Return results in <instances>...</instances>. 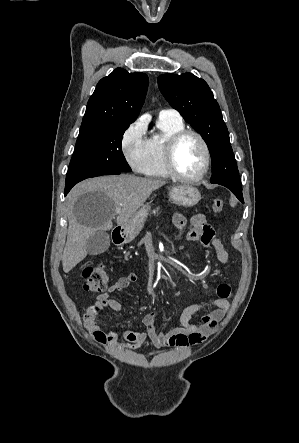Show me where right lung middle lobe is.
Listing matches in <instances>:
<instances>
[{
	"label": "right lung middle lobe",
	"instance_id": "dd1d6c3e",
	"mask_svg": "<svg viewBox=\"0 0 299 443\" xmlns=\"http://www.w3.org/2000/svg\"><path fill=\"white\" fill-rule=\"evenodd\" d=\"M130 123H115L79 132L66 185L114 172H130L121 140Z\"/></svg>",
	"mask_w": 299,
	"mask_h": 443
}]
</instances>
